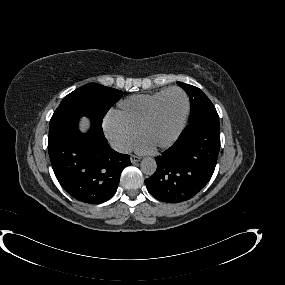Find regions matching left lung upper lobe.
I'll use <instances>...</instances> for the list:
<instances>
[{
    "label": "left lung upper lobe",
    "instance_id": "5c2ea615",
    "mask_svg": "<svg viewBox=\"0 0 285 285\" xmlns=\"http://www.w3.org/2000/svg\"><path fill=\"white\" fill-rule=\"evenodd\" d=\"M177 84L182 87L190 98V121L196 118L198 115L210 111L216 110L209 98L200 90L199 88L185 84L182 82H177Z\"/></svg>",
    "mask_w": 285,
    "mask_h": 285
}]
</instances>
